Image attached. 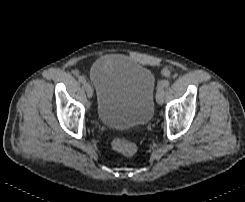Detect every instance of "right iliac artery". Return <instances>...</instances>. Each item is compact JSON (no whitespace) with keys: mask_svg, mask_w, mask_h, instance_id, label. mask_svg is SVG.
<instances>
[{"mask_svg":"<svg viewBox=\"0 0 245 202\" xmlns=\"http://www.w3.org/2000/svg\"><path fill=\"white\" fill-rule=\"evenodd\" d=\"M78 79L82 83H85L86 82V78L84 76H80Z\"/></svg>","mask_w":245,"mask_h":202,"instance_id":"82829eb1","label":"right iliac artery"}]
</instances>
